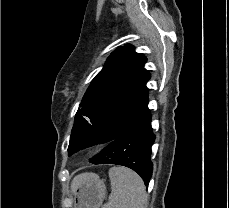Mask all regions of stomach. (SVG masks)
I'll return each instance as SVG.
<instances>
[{
	"label": "stomach",
	"mask_w": 229,
	"mask_h": 208,
	"mask_svg": "<svg viewBox=\"0 0 229 208\" xmlns=\"http://www.w3.org/2000/svg\"><path fill=\"white\" fill-rule=\"evenodd\" d=\"M74 208H100L106 196V186L99 176L75 188Z\"/></svg>",
	"instance_id": "1"
}]
</instances>
